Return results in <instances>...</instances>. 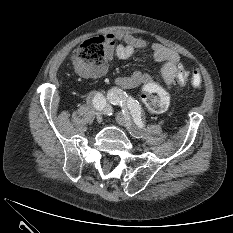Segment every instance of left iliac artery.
I'll list each match as a JSON object with an SVG mask.
<instances>
[{"label":"left iliac artery","mask_w":233,"mask_h":233,"mask_svg":"<svg viewBox=\"0 0 233 233\" xmlns=\"http://www.w3.org/2000/svg\"><path fill=\"white\" fill-rule=\"evenodd\" d=\"M107 98L110 101V103L114 105H120L125 112L129 110L135 124L139 128H143L144 124L141 118V108L137 101H135L131 97H128V95L119 88H112L108 92Z\"/></svg>","instance_id":"44dca946"}]
</instances>
